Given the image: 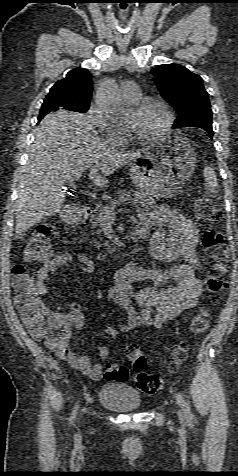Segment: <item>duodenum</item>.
<instances>
[{
  "label": "duodenum",
  "instance_id": "1",
  "mask_svg": "<svg viewBox=\"0 0 238 476\" xmlns=\"http://www.w3.org/2000/svg\"><path fill=\"white\" fill-rule=\"evenodd\" d=\"M91 215V211L88 208H80L70 211L66 214L65 219L70 224H79L84 222ZM146 236L144 230L137 228L131 236V243L141 242Z\"/></svg>",
  "mask_w": 238,
  "mask_h": 476
}]
</instances>
